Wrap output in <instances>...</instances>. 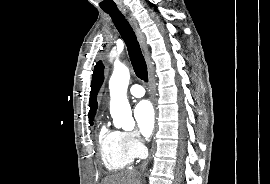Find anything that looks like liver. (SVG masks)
Returning <instances> with one entry per match:
<instances>
[{"label": "liver", "instance_id": "1", "mask_svg": "<svg viewBox=\"0 0 270 184\" xmlns=\"http://www.w3.org/2000/svg\"><path fill=\"white\" fill-rule=\"evenodd\" d=\"M136 173L113 174L104 178L101 184H136Z\"/></svg>", "mask_w": 270, "mask_h": 184}]
</instances>
